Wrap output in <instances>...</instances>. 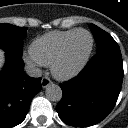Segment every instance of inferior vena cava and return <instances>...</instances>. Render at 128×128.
<instances>
[{
	"instance_id": "602c4592",
	"label": "inferior vena cava",
	"mask_w": 128,
	"mask_h": 128,
	"mask_svg": "<svg viewBox=\"0 0 128 128\" xmlns=\"http://www.w3.org/2000/svg\"><path fill=\"white\" fill-rule=\"evenodd\" d=\"M25 71L27 75L30 77H41L42 76V71L38 67L35 66L33 63H29L25 66Z\"/></svg>"
}]
</instances>
